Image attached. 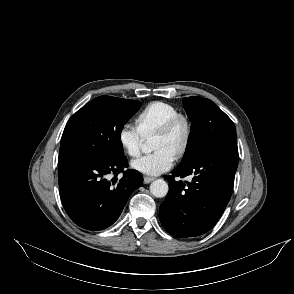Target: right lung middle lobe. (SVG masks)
<instances>
[{"mask_svg": "<svg viewBox=\"0 0 294 294\" xmlns=\"http://www.w3.org/2000/svg\"><path fill=\"white\" fill-rule=\"evenodd\" d=\"M140 107L139 101L110 96H100L87 103L65 126L58 167L123 156L121 131Z\"/></svg>", "mask_w": 294, "mask_h": 294, "instance_id": "1", "label": "right lung middle lobe"}]
</instances>
